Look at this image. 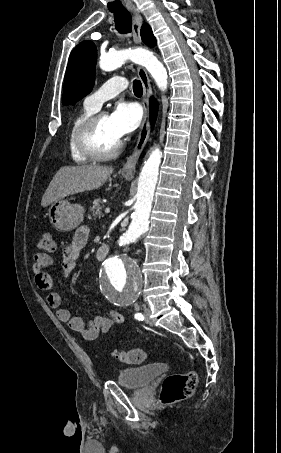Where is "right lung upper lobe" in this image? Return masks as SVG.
<instances>
[{
	"instance_id": "right-lung-upper-lobe-1",
	"label": "right lung upper lobe",
	"mask_w": 281,
	"mask_h": 453,
	"mask_svg": "<svg viewBox=\"0 0 281 453\" xmlns=\"http://www.w3.org/2000/svg\"><path fill=\"white\" fill-rule=\"evenodd\" d=\"M141 37L143 42L148 46L154 47L156 45V39L153 36L152 30L146 23H144L141 27Z\"/></svg>"
}]
</instances>
